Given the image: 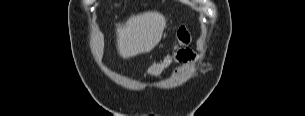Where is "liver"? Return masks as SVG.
Wrapping results in <instances>:
<instances>
[{
	"mask_svg": "<svg viewBox=\"0 0 305 116\" xmlns=\"http://www.w3.org/2000/svg\"><path fill=\"white\" fill-rule=\"evenodd\" d=\"M165 17L149 11L132 15L124 24L116 25L117 50L121 57L128 59L150 52L158 43L164 27ZM91 51L97 61L101 60L104 50V35L96 28L91 37Z\"/></svg>",
	"mask_w": 305,
	"mask_h": 116,
	"instance_id": "6515ba94",
	"label": "liver"
}]
</instances>
